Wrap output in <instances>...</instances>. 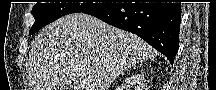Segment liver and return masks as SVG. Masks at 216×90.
I'll use <instances>...</instances> for the list:
<instances>
[{
	"instance_id": "1",
	"label": "liver",
	"mask_w": 216,
	"mask_h": 90,
	"mask_svg": "<svg viewBox=\"0 0 216 90\" xmlns=\"http://www.w3.org/2000/svg\"><path fill=\"white\" fill-rule=\"evenodd\" d=\"M144 40L88 14H69L32 42L31 90H109L138 62L152 58Z\"/></svg>"
}]
</instances>
